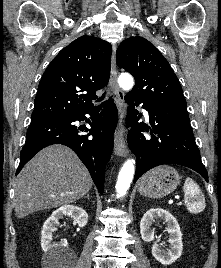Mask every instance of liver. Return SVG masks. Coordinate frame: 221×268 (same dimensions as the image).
<instances>
[{
    "label": "liver",
    "instance_id": "6515ba94",
    "mask_svg": "<svg viewBox=\"0 0 221 268\" xmlns=\"http://www.w3.org/2000/svg\"><path fill=\"white\" fill-rule=\"evenodd\" d=\"M93 185L77 155L63 145L41 150L15 181V215L21 219L32 212L73 203Z\"/></svg>",
    "mask_w": 221,
    "mask_h": 268
}]
</instances>
